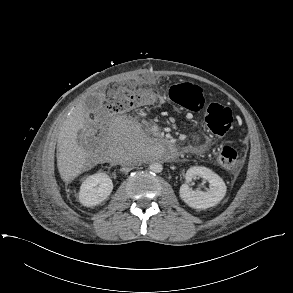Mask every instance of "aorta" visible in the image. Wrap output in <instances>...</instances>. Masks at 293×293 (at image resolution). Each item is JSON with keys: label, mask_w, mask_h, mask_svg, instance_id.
<instances>
[{"label": "aorta", "mask_w": 293, "mask_h": 293, "mask_svg": "<svg viewBox=\"0 0 293 293\" xmlns=\"http://www.w3.org/2000/svg\"><path fill=\"white\" fill-rule=\"evenodd\" d=\"M149 169L154 173H160L163 170V166L159 162H153L150 164Z\"/></svg>", "instance_id": "762f6f07"}]
</instances>
